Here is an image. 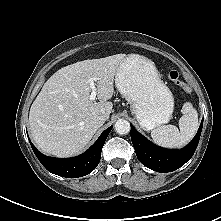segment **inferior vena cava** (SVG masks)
<instances>
[{
    "instance_id": "1",
    "label": "inferior vena cava",
    "mask_w": 221,
    "mask_h": 221,
    "mask_svg": "<svg viewBox=\"0 0 221 221\" xmlns=\"http://www.w3.org/2000/svg\"><path fill=\"white\" fill-rule=\"evenodd\" d=\"M106 120V116L105 115H99L97 117V121L100 123H104V121Z\"/></svg>"
}]
</instances>
